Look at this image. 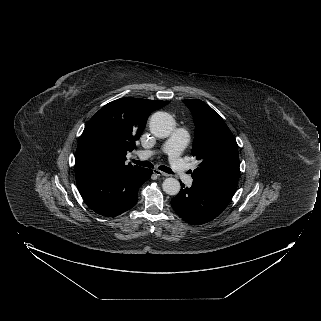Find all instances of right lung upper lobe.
<instances>
[{
    "label": "right lung upper lobe",
    "mask_w": 321,
    "mask_h": 321,
    "mask_svg": "<svg viewBox=\"0 0 321 321\" xmlns=\"http://www.w3.org/2000/svg\"><path fill=\"white\" fill-rule=\"evenodd\" d=\"M169 101L121 98L103 106L87 123L75 155L76 181L107 172H124L141 167L125 165L143 132L151 112Z\"/></svg>",
    "instance_id": "obj_1"
}]
</instances>
